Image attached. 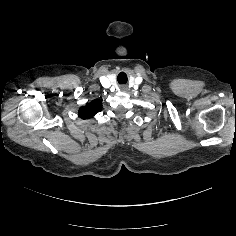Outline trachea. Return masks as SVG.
I'll return each mask as SVG.
<instances>
[{
  "instance_id": "trachea-1",
  "label": "trachea",
  "mask_w": 236,
  "mask_h": 236,
  "mask_svg": "<svg viewBox=\"0 0 236 236\" xmlns=\"http://www.w3.org/2000/svg\"><path fill=\"white\" fill-rule=\"evenodd\" d=\"M122 75H124L125 78H123ZM126 81H127L126 74H125V73H120V74L118 75V82L121 84V83H126Z\"/></svg>"
}]
</instances>
